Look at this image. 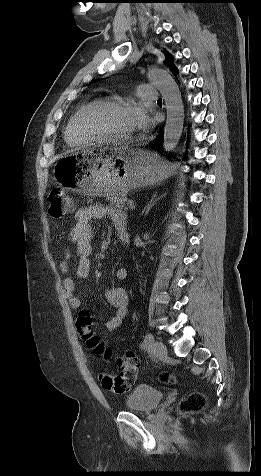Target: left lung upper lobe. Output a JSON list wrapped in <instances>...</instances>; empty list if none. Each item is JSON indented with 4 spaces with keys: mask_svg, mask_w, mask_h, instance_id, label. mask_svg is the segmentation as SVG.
Wrapping results in <instances>:
<instances>
[{
    "mask_svg": "<svg viewBox=\"0 0 261 476\" xmlns=\"http://www.w3.org/2000/svg\"><path fill=\"white\" fill-rule=\"evenodd\" d=\"M164 63L170 67L171 72H173V73H176V72H177V69H176V68L174 67V65H173V57H172L170 54L165 53V61H164Z\"/></svg>",
    "mask_w": 261,
    "mask_h": 476,
    "instance_id": "5c2ea615",
    "label": "left lung upper lobe"
}]
</instances>
